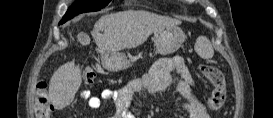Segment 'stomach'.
I'll use <instances>...</instances> for the list:
<instances>
[{
  "instance_id": "stomach-1",
  "label": "stomach",
  "mask_w": 273,
  "mask_h": 118,
  "mask_svg": "<svg viewBox=\"0 0 273 118\" xmlns=\"http://www.w3.org/2000/svg\"><path fill=\"white\" fill-rule=\"evenodd\" d=\"M152 40L156 47V52L161 55H168L180 48L185 40V34L178 26H165L153 32ZM101 61L103 67L112 72L126 69L132 62L125 54L119 52H102Z\"/></svg>"
}]
</instances>
